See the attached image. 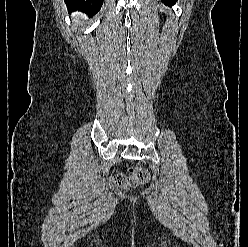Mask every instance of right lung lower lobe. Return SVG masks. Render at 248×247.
<instances>
[{
    "label": "right lung lower lobe",
    "mask_w": 248,
    "mask_h": 247,
    "mask_svg": "<svg viewBox=\"0 0 248 247\" xmlns=\"http://www.w3.org/2000/svg\"><path fill=\"white\" fill-rule=\"evenodd\" d=\"M65 3L72 10H79L88 15H93L100 10L103 0H65Z\"/></svg>",
    "instance_id": "98d812e1"
}]
</instances>
